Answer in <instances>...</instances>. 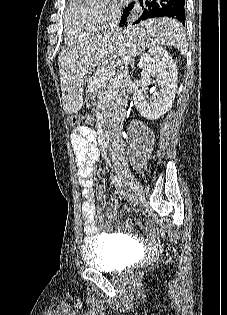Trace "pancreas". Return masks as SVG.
Listing matches in <instances>:
<instances>
[{"instance_id": "cf45deb5", "label": "pancreas", "mask_w": 227, "mask_h": 315, "mask_svg": "<svg viewBox=\"0 0 227 315\" xmlns=\"http://www.w3.org/2000/svg\"><path fill=\"white\" fill-rule=\"evenodd\" d=\"M94 76L89 80V96L92 101V105L96 107V110L101 111L103 114V120L107 124L110 123L112 117V105H113V94L107 96L103 94L105 89L93 84Z\"/></svg>"}]
</instances>
